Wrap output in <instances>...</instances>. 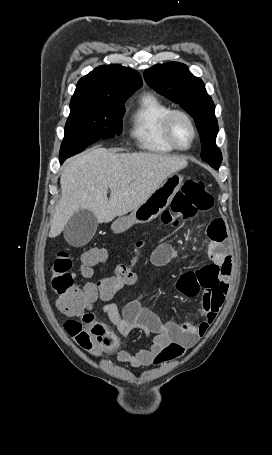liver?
I'll return each mask as SVG.
<instances>
[{"label":"liver","instance_id":"1","mask_svg":"<svg viewBox=\"0 0 272 455\" xmlns=\"http://www.w3.org/2000/svg\"><path fill=\"white\" fill-rule=\"evenodd\" d=\"M187 165L184 157L116 153L102 147L74 157L61 173L62 196L50 222L49 237L60 235L80 209L91 211L98 223L133 211L170 175Z\"/></svg>","mask_w":272,"mask_h":455}]
</instances>
